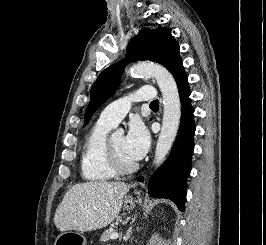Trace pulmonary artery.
Instances as JSON below:
<instances>
[{
	"mask_svg": "<svg viewBox=\"0 0 266 245\" xmlns=\"http://www.w3.org/2000/svg\"><path fill=\"white\" fill-rule=\"evenodd\" d=\"M139 90L135 92L134 101H150L151 97L154 96L155 92L153 86H141ZM121 101H128V96H121ZM119 105H108L99 114L98 120L102 122L109 123L115 126L125 115L129 112L131 108V103L120 104V101H116Z\"/></svg>",
	"mask_w": 266,
	"mask_h": 245,
	"instance_id": "obj_1",
	"label": "pulmonary artery"
}]
</instances>
